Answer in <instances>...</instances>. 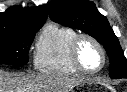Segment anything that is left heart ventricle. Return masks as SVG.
I'll list each match as a JSON object with an SVG mask.
<instances>
[{
	"instance_id": "obj_1",
	"label": "left heart ventricle",
	"mask_w": 127,
	"mask_h": 92,
	"mask_svg": "<svg viewBox=\"0 0 127 92\" xmlns=\"http://www.w3.org/2000/svg\"><path fill=\"white\" fill-rule=\"evenodd\" d=\"M78 54L81 64L88 70H96L102 64V55L99 49L88 40L81 42Z\"/></svg>"
}]
</instances>
